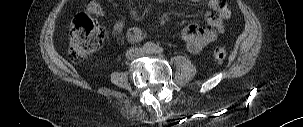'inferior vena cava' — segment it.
<instances>
[{"instance_id": "602c4592", "label": "inferior vena cava", "mask_w": 303, "mask_h": 127, "mask_svg": "<svg viewBox=\"0 0 303 127\" xmlns=\"http://www.w3.org/2000/svg\"><path fill=\"white\" fill-rule=\"evenodd\" d=\"M142 51L140 48H130L127 52H126V58L129 60H135L139 57L142 56Z\"/></svg>"}]
</instances>
